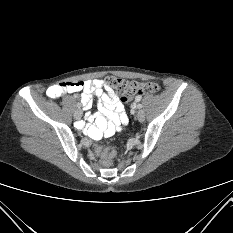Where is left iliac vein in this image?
Instances as JSON below:
<instances>
[{
    "instance_id": "1",
    "label": "left iliac vein",
    "mask_w": 233,
    "mask_h": 233,
    "mask_svg": "<svg viewBox=\"0 0 233 233\" xmlns=\"http://www.w3.org/2000/svg\"><path fill=\"white\" fill-rule=\"evenodd\" d=\"M137 119L142 122L145 119V113L142 110H139L136 114Z\"/></svg>"
}]
</instances>
